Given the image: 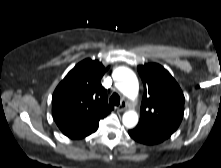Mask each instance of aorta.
Returning <instances> with one entry per match:
<instances>
[{"mask_svg":"<svg viewBox=\"0 0 221 168\" xmlns=\"http://www.w3.org/2000/svg\"><path fill=\"white\" fill-rule=\"evenodd\" d=\"M117 89L129 99H135L139 91V83L135 73L127 67H119L113 72ZM122 122L125 127L133 128L138 123V114L134 110L123 114Z\"/></svg>","mask_w":221,"mask_h":168,"instance_id":"1","label":"aorta"}]
</instances>
